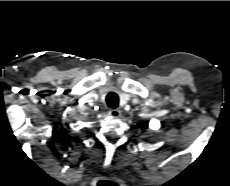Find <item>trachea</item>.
<instances>
[{"label": "trachea", "mask_w": 230, "mask_h": 186, "mask_svg": "<svg viewBox=\"0 0 230 186\" xmlns=\"http://www.w3.org/2000/svg\"><path fill=\"white\" fill-rule=\"evenodd\" d=\"M106 103H107L108 107H110V108H117L118 104H119L118 95L116 93H114V92H110L106 96Z\"/></svg>", "instance_id": "1"}]
</instances>
